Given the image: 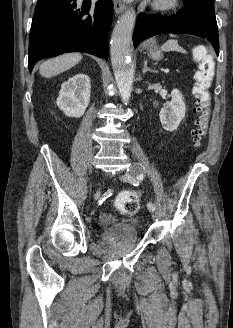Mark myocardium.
<instances>
[{
	"instance_id": "f54148a6",
	"label": "myocardium",
	"mask_w": 233,
	"mask_h": 328,
	"mask_svg": "<svg viewBox=\"0 0 233 328\" xmlns=\"http://www.w3.org/2000/svg\"><path fill=\"white\" fill-rule=\"evenodd\" d=\"M180 4L179 0H154V8L160 11H171Z\"/></svg>"
}]
</instances>
